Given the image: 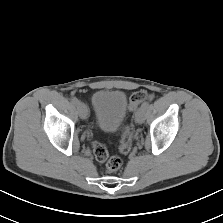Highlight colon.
<instances>
[{"label":"colon","mask_w":223,"mask_h":223,"mask_svg":"<svg viewBox=\"0 0 223 223\" xmlns=\"http://www.w3.org/2000/svg\"><path fill=\"white\" fill-rule=\"evenodd\" d=\"M150 98V94L148 91L140 90L133 93L130 96L129 100V110L135 111L137 107L144 101ZM132 145V136L128 127H124L121 134V144H120V152L122 154L128 153L130 147ZM93 153L95 158L99 162H105L106 169L109 172H116L120 169L122 165V160L118 156H109L106 147L99 143L95 142L93 144Z\"/></svg>","instance_id":"5ec220e1"}]
</instances>
